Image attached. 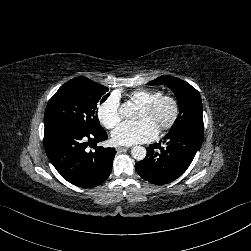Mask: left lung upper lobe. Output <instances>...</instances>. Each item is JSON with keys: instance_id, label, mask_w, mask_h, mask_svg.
<instances>
[{"instance_id": "obj_1", "label": "left lung upper lobe", "mask_w": 251, "mask_h": 251, "mask_svg": "<svg viewBox=\"0 0 251 251\" xmlns=\"http://www.w3.org/2000/svg\"><path fill=\"white\" fill-rule=\"evenodd\" d=\"M150 84L166 85L177 97L180 113L168 134L179 131L204 133L202 102L199 92L194 87L179 78L167 75L158 77Z\"/></svg>"}]
</instances>
